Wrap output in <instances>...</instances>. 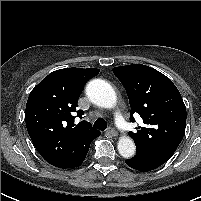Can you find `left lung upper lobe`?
Listing matches in <instances>:
<instances>
[{
    "instance_id": "1",
    "label": "left lung upper lobe",
    "mask_w": 201,
    "mask_h": 201,
    "mask_svg": "<svg viewBox=\"0 0 201 201\" xmlns=\"http://www.w3.org/2000/svg\"><path fill=\"white\" fill-rule=\"evenodd\" d=\"M115 76L123 84L133 114L143 119L144 127L129 132L136 145V154L173 155L185 133L186 107L173 82L159 71L132 64L113 68Z\"/></svg>"
}]
</instances>
